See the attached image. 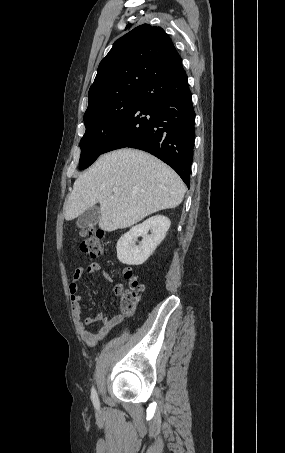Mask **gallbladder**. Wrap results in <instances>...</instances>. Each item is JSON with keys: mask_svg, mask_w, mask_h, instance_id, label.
Wrapping results in <instances>:
<instances>
[{"mask_svg": "<svg viewBox=\"0 0 285 453\" xmlns=\"http://www.w3.org/2000/svg\"><path fill=\"white\" fill-rule=\"evenodd\" d=\"M100 218V208L98 206H92L83 212L76 222V225L80 229H85L90 226L97 224Z\"/></svg>", "mask_w": 285, "mask_h": 453, "instance_id": "bac80fb5", "label": "gallbladder"}]
</instances>
